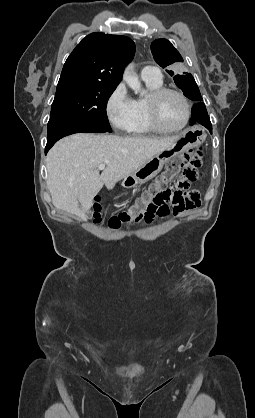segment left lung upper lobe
Instances as JSON below:
<instances>
[{
  "instance_id": "1",
  "label": "left lung upper lobe",
  "mask_w": 255,
  "mask_h": 418,
  "mask_svg": "<svg viewBox=\"0 0 255 418\" xmlns=\"http://www.w3.org/2000/svg\"><path fill=\"white\" fill-rule=\"evenodd\" d=\"M151 52L156 63L162 68H172L166 70V72L173 77L175 84L183 91L186 97L195 102H201L203 100L193 76L188 72H183L175 68L183 62V58L167 39L162 38L153 41L151 44Z\"/></svg>"
}]
</instances>
